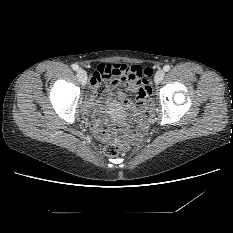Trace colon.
<instances>
[{"label": "colon", "instance_id": "1", "mask_svg": "<svg viewBox=\"0 0 233 233\" xmlns=\"http://www.w3.org/2000/svg\"><path fill=\"white\" fill-rule=\"evenodd\" d=\"M145 73L147 74L148 78L150 79L153 75V71L151 68H146L145 69ZM128 78L129 80L134 83L135 85H139L138 83V80L136 77L134 76H131L128 74ZM150 93H151V87L148 85V86H145V87H139L138 88V92H137V99L139 100H146L148 101L149 99V96H150ZM103 152L108 155V156H116L119 154L120 152V149L117 145L115 144H107L103 147Z\"/></svg>", "mask_w": 233, "mask_h": 233}]
</instances>
